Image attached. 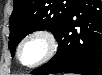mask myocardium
Returning a JSON list of instances; mask_svg holds the SVG:
<instances>
[{"label": "myocardium", "mask_w": 102, "mask_h": 75, "mask_svg": "<svg viewBox=\"0 0 102 75\" xmlns=\"http://www.w3.org/2000/svg\"><path fill=\"white\" fill-rule=\"evenodd\" d=\"M42 38L46 42V52L45 54L34 63H25L22 58L23 48L26 43L33 38ZM59 46L58 39L56 35L48 29H37L35 31L27 34L20 42L18 46V58L19 61L28 67H34L50 60L56 53Z\"/></svg>", "instance_id": "obj_1"}]
</instances>
